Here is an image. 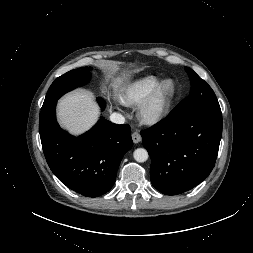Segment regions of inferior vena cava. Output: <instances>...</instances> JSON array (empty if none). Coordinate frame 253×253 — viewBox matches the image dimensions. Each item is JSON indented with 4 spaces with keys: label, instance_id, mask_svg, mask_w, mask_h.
<instances>
[{
    "label": "inferior vena cava",
    "instance_id": "1",
    "mask_svg": "<svg viewBox=\"0 0 253 253\" xmlns=\"http://www.w3.org/2000/svg\"><path fill=\"white\" fill-rule=\"evenodd\" d=\"M110 121L116 124H123L125 122V118L120 113H112L110 115Z\"/></svg>",
    "mask_w": 253,
    "mask_h": 253
}]
</instances>
